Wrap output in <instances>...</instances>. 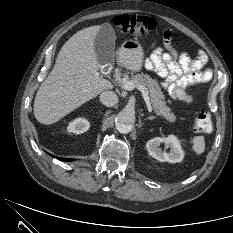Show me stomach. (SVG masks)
I'll return each mask as SVG.
<instances>
[{"mask_svg":"<svg viewBox=\"0 0 233 233\" xmlns=\"http://www.w3.org/2000/svg\"><path fill=\"white\" fill-rule=\"evenodd\" d=\"M143 58V48L138 41L126 40L119 49V62L131 71L141 70Z\"/></svg>","mask_w":233,"mask_h":233,"instance_id":"stomach-1","label":"stomach"}]
</instances>
